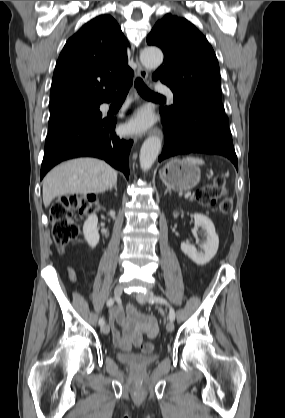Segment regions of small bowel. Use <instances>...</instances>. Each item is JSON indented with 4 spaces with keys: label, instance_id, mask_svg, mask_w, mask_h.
<instances>
[{
    "label": "small bowel",
    "instance_id": "obj_1",
    "mask_svg": "<svg viewBox=\"0 0 285 418\" xmlns=\"http://www.w3.org/2000/svg\"><path fill=\"white\" fill-rule=\"evenodd\" d=\"M68 276L72 281L78 280V275L73 268L68 271ZM122 325L124 336L115 327L112 328V339L119 349L131 350L139 348L142 337L154 338L158 334V323L150 315L141 314L133 305L126 307V314L123 315L120 308H115L113 318Z\"/></svg>",
    "mask_w": 285,
    "mask_h": 418
}]
</instances>
